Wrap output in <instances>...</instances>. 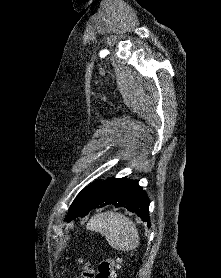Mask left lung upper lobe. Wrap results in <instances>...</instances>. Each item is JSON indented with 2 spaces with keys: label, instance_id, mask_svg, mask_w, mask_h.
Masks as SVG:
<instances>
[{
  "label": "left lung upper lobe",
  "instance_id": "obj_1",
  "mask_svg": "<svg viewBox=\"0 0 221 278\" xmlns=\"http://www.w3.org/2000/svg\"><path fill=\"white\" fill-rule=\"evenodd\" d=\"M84 190H85V189H83V190L77 195V197L75 198V200L73 201L72 206H71V209H70V211H69V215L71 214L74 205L76 204V202L78 201V199L80 198V196H81V194L84 192ZM69 215H68V216H69ZM68 216H67V217H68Z\"/></svg>",
  "mask_w": 221,
  "mask_h": 278
}]
</instances>
